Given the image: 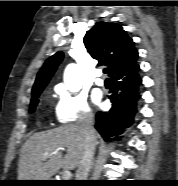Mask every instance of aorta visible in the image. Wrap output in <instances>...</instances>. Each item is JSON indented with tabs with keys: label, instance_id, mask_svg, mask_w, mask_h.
Listing matches in <instances>:
<instances>
[{
	"label": "aorta",
	"instance_id": "1",
	"mask_svg": "<svg viewBox=\"0 0 178 186\" xmlns=\"http://www.w3.org/2000/svg\"><path fill=\"white\" fill-rule=\"evenodd\" d=\"M64 83L66 88L72 92L81 89V70L77 64H69L64 71Z\"/></svg>",
	"mask_w": 178,
	"mask_h": 186
}]
</instances>
